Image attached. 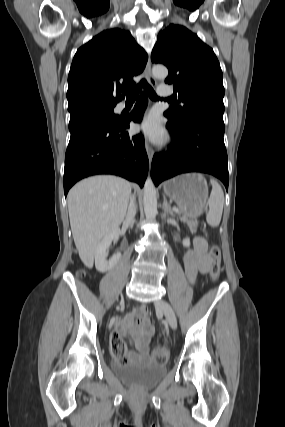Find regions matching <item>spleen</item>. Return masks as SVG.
<instances>
[{
  "label": "spleen",
  "instance_id": "3e777b00",
  "mask_svg": "<svg viewBox=\"0 0 285 427\" xmlns=\"http://www.w3.org/2000/svg\"><path fill=\"white\" fill-rule=\"evenodd\" d=\"M212 191L208 200L209 211L206 216L207 223L212 227H217L220 224L223 205L224 193L221 186L213 179H211Z\"/></svg>",
  "mask_w": 285,
  "mask_h": 427
}]
</instances>
